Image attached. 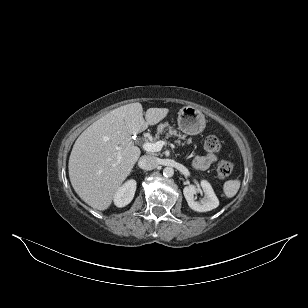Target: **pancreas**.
<instances>
[{"instance_id":"pancreas-1","label":"pancreas","mask_w":308,"mask_h":308,"mask_svg":"<svg viewBox=\"0 0 308 308\" xmlns=\"http://www.w3.org/2000/svg\"><path fill=\"white\" fill-rule=\"evenodd\" d=\"M162 133H165L167 138L171 136L178 137V140L176 141L178 145H181L180 139H184V136L178 133V131L174 129V127L170 126L168 123H164L158 125L157 133L156 136L153 138V140L156 141L157 139H159Z\"/></svg>"}]
</instances>
